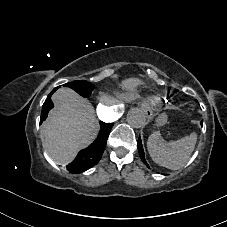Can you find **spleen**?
Instances as JSON below:
<instances>
[{
	"instance_id": "spleen-1",
	"label": "spleen",
	"mask_w": 227,
	"mask_h": 227,
	"mask_svg": "<svg viewBox=\"0 0 227 227\" xmlns=\"http://www.w3.org/2000/svg\"><path fill=\"white\" fill-rule=\"evenodd\" d=\"M197 134L191 133L177 141L165 142L159 131L152 133L147 142L152 160L163 167L178 170L185 165L195 148Z\"/></svg>"
}]
</instances>
